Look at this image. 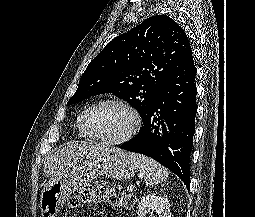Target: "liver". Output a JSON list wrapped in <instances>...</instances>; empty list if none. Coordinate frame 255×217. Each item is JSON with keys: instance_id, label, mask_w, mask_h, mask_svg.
<instances>
[{"instance_id": "liver-1", "label": "liver", "mask_w": 255, "mask_h": 217, "mask_svg": "<svg viewBox=\"0 0 255 217\" xmlns=\"http://www.w3.org/2000/svg\"><path fill=\"white\" fill-rule=\"evenodd\" d=\"M107 149L103 145L92 143L66 144L45 158L44 175L46 177L53 176L77 162L96 158Z\"/></svg>"}]
</instances>
